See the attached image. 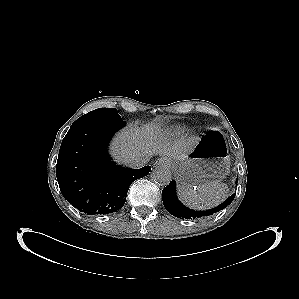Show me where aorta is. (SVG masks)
Masks as SVG:
<instances>
[{"label":"aorta","mask_w":299,"mask_h":299,"mask_svg":"<svg viewBox=\"0 0 299 299\" xmlns=\"http://www.w3.org/2000/svg\"><path fill=\"white\" fill-rule=\"evenodd\" d=\"M151 178L161 186L168 185L172 179L171 171L168 168L160 167L152 171Z\"/></svg>","instance_id":"1"}]
</instances>
